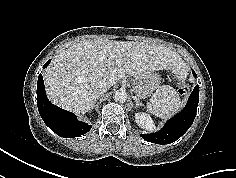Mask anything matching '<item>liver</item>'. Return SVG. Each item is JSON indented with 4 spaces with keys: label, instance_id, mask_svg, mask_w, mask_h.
I'll return each mask as SVG.
<instances>
[{
    "label": "liver",
    "instance_id": "liver-1",
    "mask_svg": "<svg viewBox=\"0 0 236 178\" xmlns=\"http://www.w3.org/2000/svg\"><path fill=\"white\" fill-rule=\"evenodd\" d=\"M184 63L171 49L154 43L92 40L61 51L44 74L49 99L77 114L94 106L99 83L113 86L125 75L136 79L159 70L181 71Z\"/></svg>",
    "mask_w": 236,
    "mask_h": 178
}]
</instances>
